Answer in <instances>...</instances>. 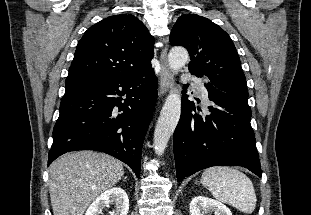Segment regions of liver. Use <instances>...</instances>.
<instances>
[{
	"label": "liver",
	"mask_w": 311,
	"mask_h": 215,
	"mask_svg": "<svg viewBox=\"0 0 311 215\" xmlns=\"http://www.w3.org/2000/svg\"><path fill=\"white\" fill-rule=\"evenodd\" d=\"M54 215H83L103 192L121 180L120 161L104 153L78 151L55 160L49 168Z\"/></svg>",
	"instance_id": "6515ba94"
}]
</instances>
